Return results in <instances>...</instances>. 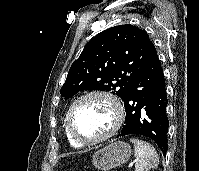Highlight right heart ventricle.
Returning <instances> with one entry per match:
<instances>
[{"label": "right heart ventricle", "mask_w": 199, "mask_h": 171, "mask_svg": "<svg viewBox=\"0 0 199 171\" xmlns=\"http://www.w3.org/2000/svg\"><path fill=\"white\" fill-rule=\"evenodd\" d=\"M64 128H65V136L66 139L68 141V143L73 146V147H81L83 146L82 144L78 143L77 141H75L69 134L68 130H67V125H66V121H64Z\"/></svg>", "instance_id": "e07e8e85"}]
</instances>
